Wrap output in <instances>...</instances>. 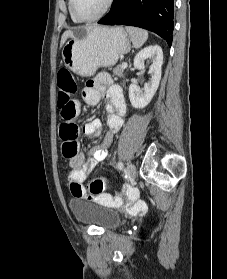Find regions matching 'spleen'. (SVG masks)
<instances>
[{
	"label": "spleen",
	"instance_id": "1",
	"mask_svg": "<svg viewBox=\"0 0 227 279\" xmlns=\"http://www.w3.org/2000/svg\"><path fill=\"white\" fill-rule=\"evenodd\" d=\"M127 33L130 35L132 43L134 45L135 48H140L147 40L148 38V32L140 29V28H136V27H125Z\"/></svg>",
	"mask_w": 227,
	"mask_h": 279
}]
</instances>
